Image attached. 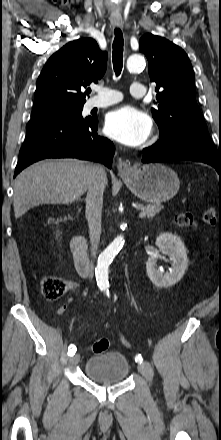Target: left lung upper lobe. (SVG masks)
Masks as SVG:
<instances>
[{
  "label": "left lung upper lobe",
  "instance_id": "5c2ea615",
  "mask_svg": "<svg viewBox=\"0 0 221 440\" xmlns=\"http://www.w3.org/2000/svg\"><path fill=\"white\" fill-rule=\"evenodd\" d=\"M139 50L148 59L150 80L156 83V105L152 115L160 138L183 146L199 143L216 151L195 97V77L187 54L169 40L145 34Z\"/></svg>",
  "mask_w": 221,
  "mask_h": 440
}]
</instances>
